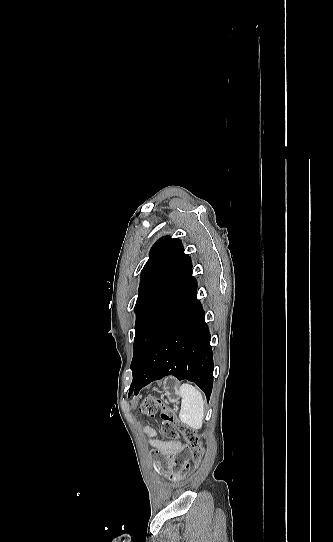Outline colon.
I'll return each instance as SVG.
<instances>
[{
  "label": "colon",
  "instance_id": "obj_1",
  "mask_svg": "<svg viewBox=\"0 0 333 542\" xmlns=\"http://www.w3.org/2000/svg\"><path fill=\"white\" fill-rule=\"evenodd\" d=\"M141 413L147 417H154L157 411L161 412L162 433L165 437L171 440H176L183 437L188 444V450L175 449L173 456L162 455L156 466V470L160 472L167 481L176 482L182 478L187 471L191 469L192 460L193 466L196 468L205 453L204 446L194 430L175 419L174 412L165 406L154 396L147 397L141 404Z\"/></svg>",
  "mask_w": 333,
  "mask_h": 542
}]
</instances>
